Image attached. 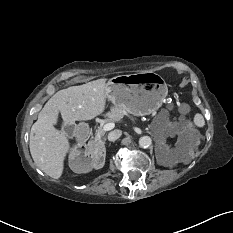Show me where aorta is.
I'll use <instances>...</instances> for the list:
<instances>
[{"label":"aorta","instance_id":"obj_1","mask_svg":"<svg viewBox=\"0 0 233 233\" xmlns=\"http://www.w3.org/2000/svg\"><path fill=\"white\" fill-rule=\"evenodd\" d=\"M152 144V139L149 136H142L139 139V146L142 148H148Z\"/></svg>","mask_w":233,"mask_h":233}]
</instances>
